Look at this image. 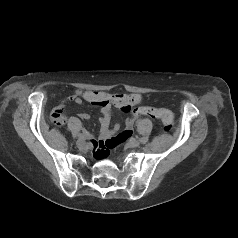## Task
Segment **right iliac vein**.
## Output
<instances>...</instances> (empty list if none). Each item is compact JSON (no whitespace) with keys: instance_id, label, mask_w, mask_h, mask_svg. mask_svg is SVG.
Masks as SVG:
<instances>
[{"instance_id":"obj_1","label":"right iliac vein","mask_w":238,"mask_h":238,"mask_svg":"<svg viewBox=\"0 0 238 238\" xmlns=\"http://www.w3.org/2000/svg\"><path fill=\"white\" fill-rule=\"evenodd\" d=\"M76 144L79 148H84L86 146V141L84 139H79Z\"/></svg>"}]
</instances>
